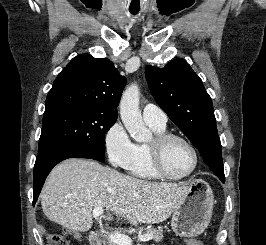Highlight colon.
Listing matches in <instances>:
<instances>
[{
  "mask_svg": "<svg viewBox=\"0 0 266 245\" xmlns=\"http://www.w3.org/2000/svg\"><path fill=\"white\" fill-rule=\"evenodd\" d=\"M47 239L49 245H69L67 238L63 234L48 233Z\"/></svg>",
  "mask_w": 266,
  "mask_h": 245,
  "instance_id": "obj_1",
  "label": "colon"
}]
</instances>
